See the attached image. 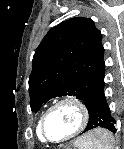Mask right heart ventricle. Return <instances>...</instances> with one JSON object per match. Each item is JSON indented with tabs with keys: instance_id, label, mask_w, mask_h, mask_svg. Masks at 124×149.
Masks as SVG:
<instances>
[{
	"instance_id": "1",
	"label": "right heart ventricle",
	"mask_w": 124,
	"mask_h": 149,
	"mask_svg": "<svg viewBox=\"0 0 124 149\" xmlns=\"http://www.w3.org/2000/svg\"><path fill=\"white\" fill-rule=\"evenodd\" d=\"M39 126H40V121H38L36 133H37L38 139H39L41 142H44V139L42 138L41 133H40V128H39Z\"/></svg>"
}]
</instances>
